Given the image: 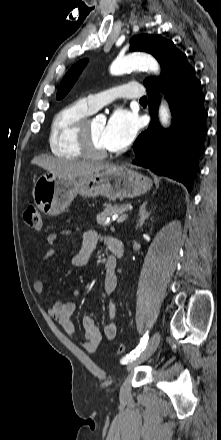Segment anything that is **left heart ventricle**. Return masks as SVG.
<instances>
[{
    "label": "left heart ventricle",
    "instance_id": "obj_1",
    "mask_svg": "<svg viewBox=\"0 0 221 440\" xmlns=\"http://www.w3.org/2000/svg\"><path fill=\"white\" fill-rule=\"evenodd\" d=\"M105 128V123L100 120L93 119L90 122L89 130L93 140L94 145L100 150H108L102 139L103 131Z\"/></svg>",
    "mask_w": 221,
    "mask_h": 440
}]
</instances>
